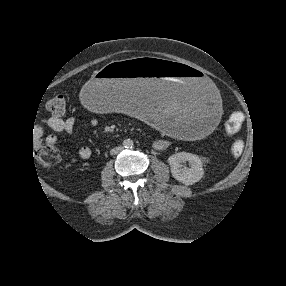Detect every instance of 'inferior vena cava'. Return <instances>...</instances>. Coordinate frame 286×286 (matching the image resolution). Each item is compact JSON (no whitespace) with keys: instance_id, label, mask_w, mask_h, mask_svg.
I'll return each instance as SVG.
<instances>
[{"instance_id":"inferior-vena-cava-1","label":"inferior vena cava","mask_w":286,"mask_h":286,"mask_svg":"<svg viewBox=\"0 0 286 286\" xmlns=\"http://www.w3.org/2000/svg\"><path fill=\"white\" fill-rule=\"evenodd\" d=\"M122 149H123L122 147H115V148L111 149L110 154H111V155H116V154H118L119 152H121Z\"/></svg>"}]
</instances>
